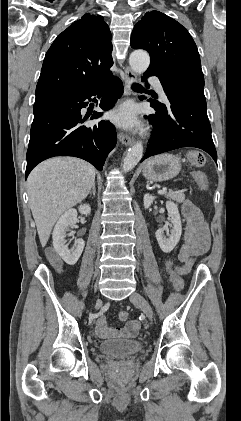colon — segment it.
<instances>
[{
	"label": "colon",
	"mask_w": 241,
	"mask_h": 421,
	"mask_svg": "<svg viewBox=\"0 0 241 421\" xmlns=\"http://www.w3.org/2000/svg\"><path fill=\"white\" fill-rule=\"evenodd\" d=\"M47 2L53 3L55 0H46ZM188 164L193 168L202 167L205 163V156L199 151H191L187 155ZM193 177L198 183L201 189H205L207 187V180L205 174L202 171H194ZM49 258L51 262L55 266L60 265V261L58 257L54 253L49 254ZM194 263L193 258L183 262L180 266H175L173 263H167V269L170 274V278L175 289L180 290L183 287V278L182 276L188 273ZM119 318L123 322L129 321V314L126 311H122L119 313Z\"/></svg>",
	"instance_id": "obj_1"
}]
</instances>
